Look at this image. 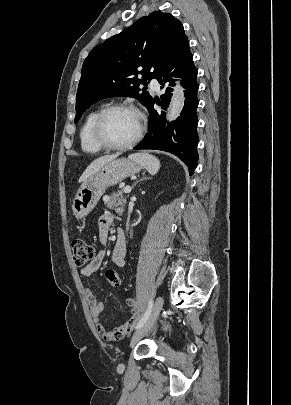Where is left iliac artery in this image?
I'll return each instance as SVG.
<instances>
[{
    "mask_svg": "<svg viewBox=\"0 0 291 405\" xmlns=\"http://www.w3.org/2000/svg\"><path fill=\"white\" fill-rule=\"evenodd\" d=\"M152 307H153V301L150 300L148 308H147L146 312L144 313V315L142 316V318L140 319V321L138 322L136 329L141 328L145 324V322L148 320V318L151 314V311H152Z\"/></svg>",
    "mask_w": 291,
    "mask_h": 405,
    "instance_id": "obj_1",
    "label": "left iliac artery"
}]
</instances>
